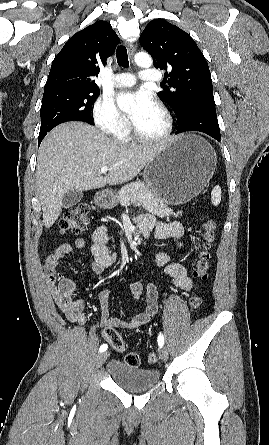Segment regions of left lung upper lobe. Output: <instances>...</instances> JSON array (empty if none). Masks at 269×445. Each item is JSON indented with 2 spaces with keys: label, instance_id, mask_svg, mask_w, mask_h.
Segmentation results:
<instances>
[{
  "label": "left lung upper lobe",
  "instance_id": "5c2ea615",
  "mask_svg": "<svg viewBox=\"0 0 269 445\" xmlns=\"http://www.w3.org/2000/svg\"><path fill=\"white\" fill-rule=\"evenodd\" d=\"M139 40L154 66L168 70L164 77L169 87L158 95L171 106L178 124L194 108H215L207 61L189 34L158 18L148 23Z\"/></svg>",
  "mask_w": 269,
  "mask_h": 445
}]
</instances>
